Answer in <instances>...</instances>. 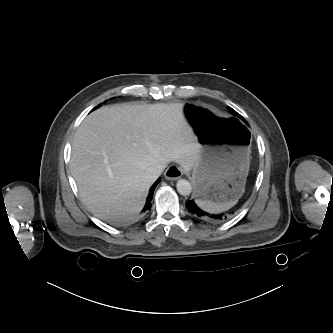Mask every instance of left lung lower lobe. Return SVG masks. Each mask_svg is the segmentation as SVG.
<instances>
[{"mask_svg":"<svg viewBox=\"0 0 333 333\" xmlns=\"http://www.w3.org/2000/svg\"><path fill=\"white\" fill-rule=\"evenodd\" d=\"M186 207L192 214H194L195 216H198L202 219H205V220H212V221L218 222V221L226 220L230 216L229 214L210 215L209 213H206V212L200 210L193 200L188 201L186 203Z\"/></svg>","mask_w":333,"mask_h":333,"instance_id":"1","label":"left lung lower lobe"}]
</instances>
